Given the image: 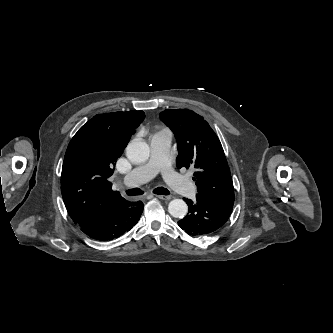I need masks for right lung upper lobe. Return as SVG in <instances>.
<instances>
[{"mask_svg": "<svg viewBox=\"0 0 333 333\" xmlns=\"http://www.w3.org/2000/svg\"><path fill=\"white\" fill-rule=\"evenodd\" d=\"M144 117L143 111L134 110L96 115L71 139L62 166L61 193L75 224H90L125 206L109 177Z\"/></svg>", "mask_w": 333, "mask_h": 333, "instance_id": "obj_1", "label": "right lung upper lobe"}]
</instances>
